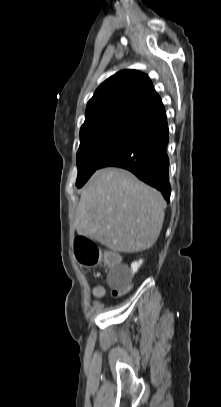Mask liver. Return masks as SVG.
<instances>
[{
    "label": "liver",
    "instance_id": "obj_1",
    "mask_svg": "<svg viewBox=\"0 0 221 407\" xmlns=\"http://www.w3.org/2000/svg\"><path fill=\"white\" fill-rule=\"evenodd\" d=\"M165 207L161 193L131 172L100 169L81 193L78 233L114 252L143 251L157 241Z\"/></svg>",
    "mask_w": 221,
    "mask_h": 407
}]
</instances>
